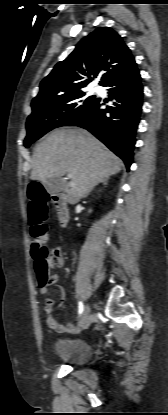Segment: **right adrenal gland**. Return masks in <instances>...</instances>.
Here are the masks:
<instances>
[{
	"instance_id": "obj_1",
	"label": "right adrenal gland",
	"mask_w": 168,
	"mask_h": 415,
	"mask_svg": "<svg viewBox=\"0 0 168 415\" xmlns=\"http://www.w3.org/2000/svg\"><path fill=\"white\" fill-rule=\"evenodd\" d=\"M100 183H102L103 185H107V179L100 180Z\"/></svg>"
}]
</instances>
